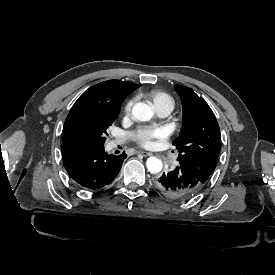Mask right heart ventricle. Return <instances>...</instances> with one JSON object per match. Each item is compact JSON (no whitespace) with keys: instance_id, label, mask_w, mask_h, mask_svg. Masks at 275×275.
<instances>
[{"instance_id":"obj_1","label":"right heart ventricle","mask_w":275,"mask_h":275,"mask_svg":"<svg viewBox=\"0 0 275 275\" xmlns=\"http://www.w3.org/2000/svg\"><path fill=\"white\" fill-rule=\"evenodd\" d=\"M152 98L155 101L158 108L168 106L172 109L174 105L173 99L169 95L162 92H153Z\"/></svg>"}]
</instances>
